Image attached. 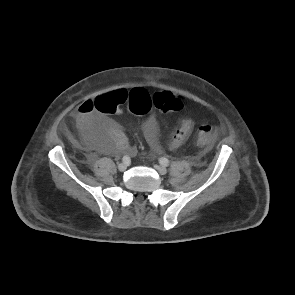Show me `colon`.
Wrapping results in <instances>:
<instances>
[{
	"label": "colon",
	"mask_w": 295,
	"mask_h": 295,
	"mask_svg": "<svg viewBox=\"0 0 295 295\" xmlns=\"http://www.w3.org/2000/svg\"><path fill=\"white\" fill-rule=\"evenodd\" d=\"M185 105L182 96L170 92L149 94L145 90L136 89L131 92L118 90L97 97L94 107L102 113H116L124 107L137 115H145L158 109L162 112L181 110ZM217 133V127L212 123H204L199 127L197 143L201 146H210Z\"/></svg>",
	"instance_id": "obj_1"
}]
</instances>
